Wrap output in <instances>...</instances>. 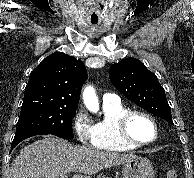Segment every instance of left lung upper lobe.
<instances>
[{
  "label": "left lung upper lobe",
  "mask_w": 194,
  "mask_h": 178,
  "mask_svg": "<svg viewBox=\"0 0 194 178\" xmlns=\"http://www.w3.org/2000/svg\"><path fill=\"white\" fill-rule=\"evenodd\" d=\"M113 86L128 99L174 125L165 90L155 74L135 58H126L109 69Z\"/></svg>",
  "instance_id": "5c2ea615"
}]
</instances>
